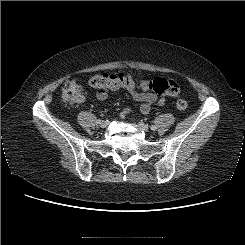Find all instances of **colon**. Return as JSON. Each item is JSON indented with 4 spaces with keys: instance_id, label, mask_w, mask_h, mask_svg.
Segmentation results:
<instances>
[{
    "instance_id": "1",
    "label": "colon",
    "mask_w": 245,
    "mask_h": 245,
    "mask_svg": "<svg viewBox=\"0 0 245 245\" xmlns=\"http://www.w3.org/2000/svg\"><path fill=\"white\" fill-rule=\"evenodd\" d=\"M89 84L98 91H111L126 87H139L144 90H152L159 95L175 96L179 93L180 87L176 81L162 77L143 79L136 81L130 74L126 73H99L94 75ZM82 87L74 78L65 81L62 88V97L68 103H75L81 99ZM176 106L179 110H186L188 103L185 100H178Z\"/></svg>"
}]
</instances>
